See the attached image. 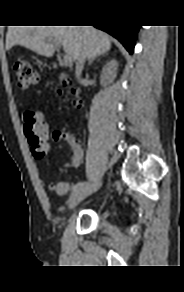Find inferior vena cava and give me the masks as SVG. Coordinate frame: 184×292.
Segmentation results:
<instances>
[{"label": "inferior vena cava", "mask_w": 184, "mask_h": 292, "mask_svg": "<svg viewBox=\"0 0 184 292\" xmlns=\"http://www.w3.org/2000/svg\"><path fill=\"white\" fill-rule=\"evenodd\" d=\"M84 57H79L77 60H76V77L77 79L81 82V74H82V70H83V67H84Z\"/></svg>", "instance_id": "obj_1"}]
</instances>
